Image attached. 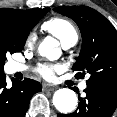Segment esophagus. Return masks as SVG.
<instances>
[{
    "instance_id": "1",
    "label": "esophagus",
    "mask_w": 117,
    "mask_h": 117,
    "mask_svg": "<svg viewBox=\"0 0 117 117\" xmlns=\"http://www.w3.org/2000/svg\"><path fill=\"white\" fill-rule=\"evenodd\" d=\"M57 87L54 85H50V84H44L43 85V90L45 91H54Z\"/></svg>"
}]
</instances>
